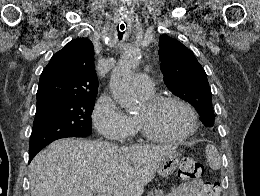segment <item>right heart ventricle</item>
<instances>
[{"label":"right heart ventricle","mask_w":260,"mask_h":196,"mask_svg":"<svg viewBox=\"0 0 260 196\" xmlns=\"http://www.w3.org/2000/svg\"><path fill=\"white\" fill-rule=\"evenodd\" d=\"M140 96H141L143 99H145V100H149V99H151V98L154 97V91H153V93H151V94H149V95L140 94Z\"/></svg>","instance_id":"1"}]
</instances>
